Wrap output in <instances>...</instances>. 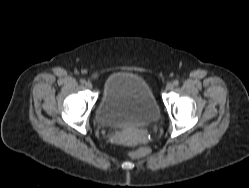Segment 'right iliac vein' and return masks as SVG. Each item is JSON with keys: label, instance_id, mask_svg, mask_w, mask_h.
I'll return each instance as SVG.
<instances>
[{"label": "right iliac vein", "instance_id": "obj_1", "mask_svg": "<svg viewBox=\"0 0 249 188\" xmlns=\"http://www.w3.org/2000/svg\"><path fill=\"white\" fill-rule=\"evenodd\" d=\"M85 86L88 88V89H91L93 87L92 83L91 82H86L85 83Z\"/></svg>", "mask_w": 249, "mask_h": 188}]
</instances>
